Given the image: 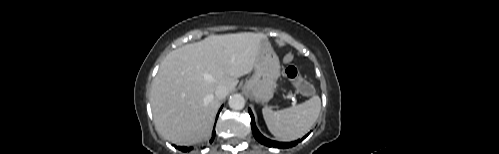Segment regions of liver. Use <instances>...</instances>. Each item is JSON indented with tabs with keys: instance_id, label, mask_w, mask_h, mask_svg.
I'll list each match as a JSON object with an SVG mask.
<instances>
[{
	"instance_id": "obj_1",
	"label": "liver",
	"mask_w": 499,
	"mask_h": 154,
	"mask_svg": "<svg viewBox=\"0 0 499 154\" xmlns=\"http://www.w3.org/2000/svg\"><path fill=\"white\" fill-rule=\"evenodd\" d=\"M267 40L263 33L212 35L171 51L151 88V108L160 134L177 145H193L211 136L220 107L217 86L231 92L250 73Z\"/></svg>"
}]
</instances>
